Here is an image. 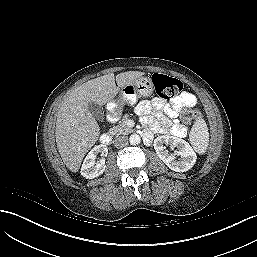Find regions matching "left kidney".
Listing matches in <instances>:
<instances>
[{
  "label": "left kidney",
  "mask_w": 257,
  "mask_h": 257,
  "mask_svg": "<svg viewBox=\"0 0 257 257\" xmlns=\"http://www.w3.org/2000/svg\"><path fill=\"white\" fill-rule=\"evenodd\" d=\"M154 149L159 158L173 171L186 172L193 167L197 156L188 142L178 137L162 135L154 140ZM165 145L177 148L175 155L181 157L176 160L173 154H169Z\"/></svg>",
  "instance_id": "obj_1"
}]
</instances>
